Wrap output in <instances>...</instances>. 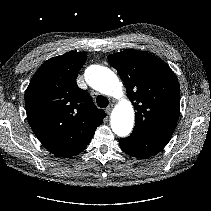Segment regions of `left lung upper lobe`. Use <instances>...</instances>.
I'll list each match as a JSON object with an SVG mask.
<instances>
[{"label": "left lung upper lobe", "instance_id": "5c2ea615", "mask_svg": "<svg viewBox=\"0 0 211 211\" xmlns=\"http://www.w3.org/2000/svg\"><path fill=\"white\" fill-rule=\"evenodd\" d=\"M123 80L135 114L132 134L171 138L179 118L177 77L160 58L139 50L108 56Z\"/></svg>", "mask_w": 211, "mask_h": 211}]
</instances>
